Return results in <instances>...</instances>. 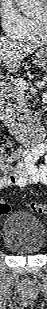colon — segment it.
I'll return each instance as SVG.
<instances>
[{
	"mask_svg": "<svg viewBox=\"0 0 47 309\" xmlns=\"http://www.w3.org/2000/svg\"><path fill=\"white\" fill-rule=\"evenodd\" d=\"M29 208L37 213H45L46 212V206L45 204L38 202V201H32L29 203ZM10 211V206L5 203L0 204V214H7Z\"/></svg>",
	"mask_w": 47,
	"mask_h": 309,
	"instance_id": "1",
	"label": "colon"
}]
</instances>
